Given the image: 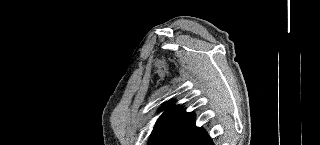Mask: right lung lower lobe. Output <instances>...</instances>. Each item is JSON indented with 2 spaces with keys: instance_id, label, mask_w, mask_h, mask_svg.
Masks as SVG:
<instances>
[{
  "instance_id": "right-lung-lower-lobe-1",
  "label": "right lung lower lobe",
  "mask_w": 320,
  "mask_h": 145,
  "mask_svg": "<svg viewBox=\"0 0 320 145\" xmlns=\"http://www.w3.org/2000/svg\"><path fill=\"white\" fill-rule=\"evenodd\" d=\"M168 145H213V143L205 130L194 127L174 136Z\"/></svg>"
}]
</instances>
